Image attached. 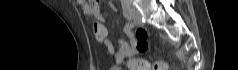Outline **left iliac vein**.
Returning a JSON list of instances; mask_svg holds the SVG:
<instances>
[{
    "label": "left iliac vein",
    "instance_id": "4c4485c4",
    "mask_svg": "<svg viewBox=\"0 0 238 70\" xmlns=\"http://www.w3.org/2000/svg\"><path fill=\"white\" fill-rule=\"evenodd\" d=\"M131 18H132V20L134 21V23H136V24H141L142 23V16H141V14H140V12L136 9V8H134V7H132L131 8Z\"/></svg>",
    "mask_w": 238,
    "mask_h": 70
}]
</instances>
